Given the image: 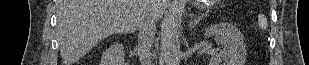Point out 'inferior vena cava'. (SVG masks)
Wrapping results in <instances>:
<instances>
[{"instance_id": "obj_1", "label": "inferior vena cava", "mask_w": 309, "mask_h": 65, "mask_svg": "<svg viewBox=\"0 0 309 65\" xmlns=\"http://www.w3.org/2000/svg\"><path fill=\"white\" fill-rule=\"evenodd\" d=\"M138 52L141 65H151L153 54L151 52L155 36V19L151 14L144 17L139 27Z\"/></svg>"}]
</instances>
